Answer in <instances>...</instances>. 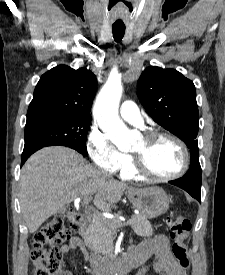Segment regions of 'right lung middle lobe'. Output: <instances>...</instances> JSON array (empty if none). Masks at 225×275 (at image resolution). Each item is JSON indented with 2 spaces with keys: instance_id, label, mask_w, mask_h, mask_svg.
<instances>
[{
  "instance_id": "obj_1",
  "label": "right lung middle lobe",
  "mask_w": 225,
  "mask_h": 275,
  "mask_svg": "<svg viewBox=\"0 0 225 275\" xmlns=\"http://www.w3.org/2000/svg\"><path fill=\"white\" fill-rule=\"evenodd\" d=\"M89 116L43 114L27 117L24 150L46 146H67L87 155L86 135L90 126Z\"/></svg>"
}]
</instances>
